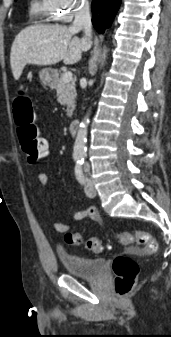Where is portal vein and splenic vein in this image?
<instances>
[{"label":"portal vein and splenic vein","instance_id":"1","mask_svg":"<svg viewBox=\"0 0 171 337\" xmlns=\"http://www.w3.org/2000/svg\"><path fill=\"white\" fill-rule=\"evenodd\" d=\"M64 82H70L72 80V72L67 71L62 76Z\"/></svg>","mask_w":171,"mask_h":337}]
</instances>
